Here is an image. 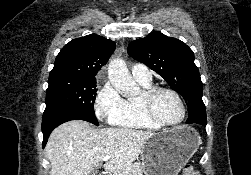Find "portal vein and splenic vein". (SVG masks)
<instances>
[{
    "instance_id": "portal-vein-and-splenic-vein-1",
    "label": "portal vein and splenic vein",
    "mask_w": 251,
    "mask_h": 175,
    "mask_svg": "<svg viewBox=\"0 0 251 175\" xmlns=\"http://www.w3.org/2000/svg\"><path fill=\"white\" fill-rule=\"evenodd\" d=\"M111 155H104V157H102L103 161H108V159H110Z\"/></svg>"
}]
</instances>
